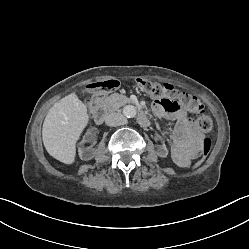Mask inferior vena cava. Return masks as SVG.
Returning <instances> with one entry per match:
<instances>
[{"instance_id":"1","label":"inferior vena cava","mask_w":249,"mask_h":249,"mask_svg":"<svg viewBox=\"0 0 249 249\" xmlns=\"http://www.w3.org/2000/svg\"><path fill=\"white\" fill-rule=\"evenodd\" d=\"M127 122L125 116L120 112H113L109 114L106 118V124L108 126H118L123 125Z\"/></svg>"}]
</instances>
